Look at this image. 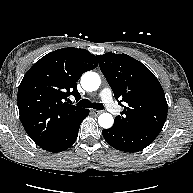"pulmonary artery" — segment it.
<instances>
[{
    "mask_svg": "<svg viewBox=\"0 0 193 193\" xmlns=\"http://www.w3.org/2000/svg\"><path fill=\"white\" fill-rule=\"evenodd\" d=\"M99 97L102 99V101L106 104L107 108L112 113H117L118 108L113 102L112 91L110 88L106 87L102 89L101 92L99 93Z\"/></svg>",
    "mask_w": 193,
    "mask_h": 193,
    "instance_id": "1",
    "label": "pulmonary artery"
}]
</instances>
